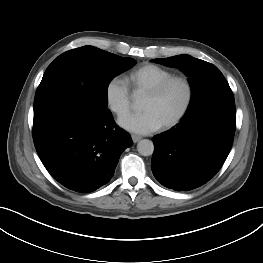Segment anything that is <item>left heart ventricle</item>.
<instances>
[{"mask_svg": "<svg viewBox=\"0 0 263 263\" xmlns=\"http://www.w3.org/2000/svg\"><path fill=\"white\" fill-rule=\"evenodd\" d=\"M186 97L184 86L179 83H173L167 90L158 97H152L145 94L141 108L143 110L151 109L155 111L163 123L171 119L182 107Z\"/></svg>", "mask_w": 263, "mask_h": 263, "instance_id": "b2bd125f", "label": "left heart ventricle"}]
</instances>
